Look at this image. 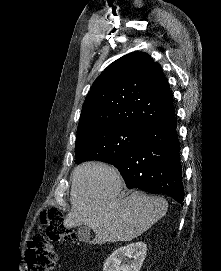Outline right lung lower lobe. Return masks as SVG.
Masks as SVG:
<instances>
[{"instance_id": "1", "label": "right lung lower lobe", "mask_w": 221, "mask_h": 271, "mask_svg": "<svg viewBox=\"0 0 221 271\" xmlns=\"http://www.w3.org/2000/svg\"><path fill=\"white\" fill-rule=\"evenodd\" d=\"M175 113L150 123L137 144L114 165L127 188L184 199ZM183 205V204H182Z\"/></svg>"}]
</instances>
